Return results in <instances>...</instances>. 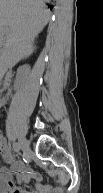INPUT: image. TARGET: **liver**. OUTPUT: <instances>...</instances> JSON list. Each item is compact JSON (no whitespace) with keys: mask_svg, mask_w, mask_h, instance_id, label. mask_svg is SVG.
<instances>
[{"mask_svg":"<svg viewBox=\"0 0 103 193\" xmlns=\"http://www.w3.org/2000/svg\"><path fill=\"white\" fill-rule=\"evenodd\" d=\"M43 0H0L1 74L29 57L34 39L50 20Z\"/></svg>","mask_w":103,"mask_h":193,"instance_id":"6515ba94","label":"liver"}]
</instances>
